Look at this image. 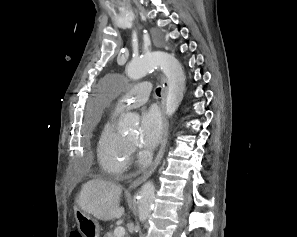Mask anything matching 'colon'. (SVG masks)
<instances>
[{
  "mask_svg": "<svg viewBox=\"0 0 297 237\" xmlns=\"http://www.w3.org/2000/svg\"><path fill=\"white\" fill-rule=\"evenodd\" d=\"M70 237H81V235L77 232H73Z\"/></svg>",
  "mask_w": 297,
  "mask_h": 237,
  "instance_id": "5ec220e1",
  "label": "colon"
}]
</instances>
